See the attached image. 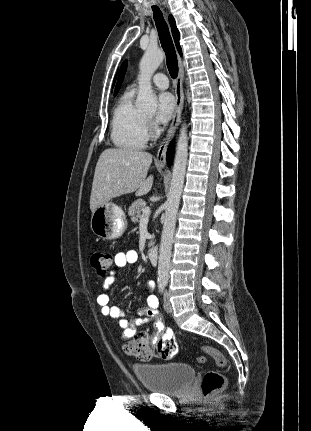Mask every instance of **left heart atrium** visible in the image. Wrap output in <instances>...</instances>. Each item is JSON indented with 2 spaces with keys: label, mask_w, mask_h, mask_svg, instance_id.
Listing matches in <instances>:
<instances>
[{
  "label": "left heart atrium",
  "mask_w": 311,
  "mask_h": 431,
  "mask_svg": "<svg viewBox=\"0 0 311 431\" xmlns=\"http://www.w3.org/2000/svg\"><path fill=\"white\" fill-rule=\"evenodd\" d=\"M176 110V100L170 92H162L158 97V109L156 120L164 124L169 122L174 116Z\"/></svg>",
  "instance_id": "left-heart-atrium-1"
}]
</instances>
